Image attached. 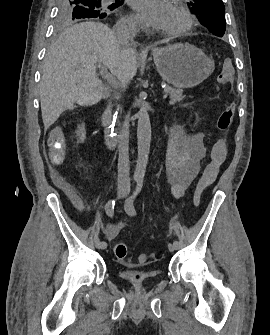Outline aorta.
Returning a JSON list of instances; mask_svg holds the SVG:
<instances>
[{
	"mask_svg": "<svg viewBox=\"0 0 270 335\" xmlns=\"http://www.w3.org/2000/svg\"><path fill=\"white\" fill-rule=\"evenodd\" d=\"M137 118L138 158L134 171V179L135 181H143L148 164L151 144V124L150 118L148 116V108L145 106V104L144 106H141L137 114Z\"/></svg>",
	"mask_w": 270,
	"mask_h": 335,
	"instance_id": "aorta-1",
	"label": "aorta"
}]
</instances>
